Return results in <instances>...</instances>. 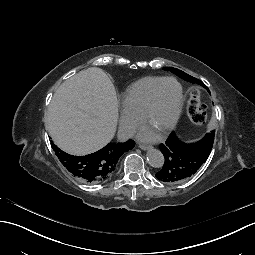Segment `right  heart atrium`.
Returning <instances> with one entry per match:
<instances>
[{"label":"right heart atrium","instance_id":"right-heart-atrium-1","mask_svg":"<svg viewBox=\"0 0 255 255\" xmlns=\"http://www.w3.org/2000/svg\"><path fill=\"white\" fill-rule=\"evenodd\" d=\"M138 127V119L126 112L123 109H120L119 112V128L124 137H130Z\"/></svg>","mask_w":255,"mask_h":255}]
</instances>
